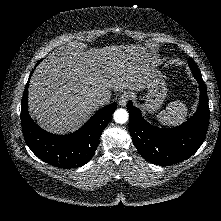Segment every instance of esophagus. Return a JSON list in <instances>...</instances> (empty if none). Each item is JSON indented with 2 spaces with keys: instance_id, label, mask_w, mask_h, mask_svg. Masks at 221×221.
I'll return each instance as SVG.
<instances>
[{
  "instance_id": "1",
  "label": "esophagus",
  "mask_w": 221,
  "mask_h": 221,
  "mask_svg": "<svg viewBox=\"0 0 221 221\" xmlns=\"http://www.w3.org/2000/svg\"><path fill=\"white\" fill-rule=\"evenodd\" d=\"M130 93L129 92H124L122 93V95L119 98V105L120 106H126V104L128 103L129 99H130Z\"/></svg>"
}]
</instances>
